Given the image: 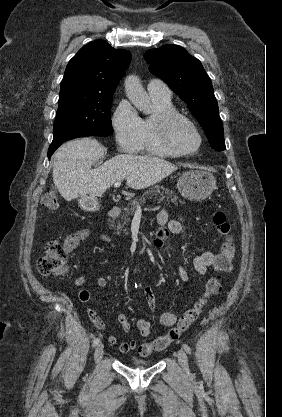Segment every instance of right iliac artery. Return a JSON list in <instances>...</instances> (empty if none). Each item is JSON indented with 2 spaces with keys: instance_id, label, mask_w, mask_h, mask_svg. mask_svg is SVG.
Returning a JSON list of instances; mask_svg holds the SVG:
<instances>
[{
  "instance_id": "obj_1",
  "label": "right iliac artery",
  "mask_w": 282,
  "mask_h": 417,
  "mask_svg": "<svg viewBox=\"0 0 282 417\" xmlns=\"http://www.w3.org/2000/svg\"><path fill=\"white\" fill-rule=\"evenodd\" d=\"M99 343H100V338H96V339L93 341L92 346H93V347H96Z\"/></svg>"
}]
</instances>
